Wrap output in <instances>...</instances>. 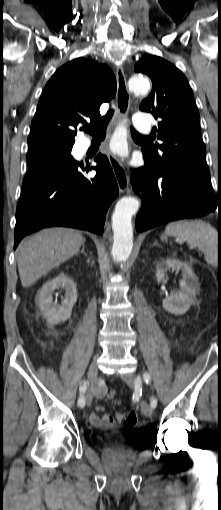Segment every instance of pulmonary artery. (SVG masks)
Masks as SVG:
<instances>
[{
  "label": "pulmonary artery",
  "instance_id": "obj_1",
  "mask_svg": "<svg viewBox=\"0 0 221 510\" xmlns=\"http://www.w3.org/2000/svg\"><path fill=\"white\" fill-rule=\"evenodd\" d=\"M132 124L135 130L147 133L151 129V120L144 113H136L133 117Z\"/></svg>",
  "mask_w": 221,
  "mask_h": 510
}]
</instances>
